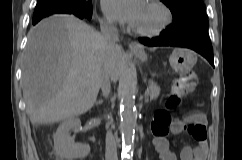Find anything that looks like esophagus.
Wrapping results in <instances>:
<instances>
[{
	"instance_id": "esophagus-1",
	"label": "esophagus",
	"mask_w": 242,
	"mask_h": 160,
	"mask_svg": "<svg viewBox=\"0 0 242 160\" xmlns=\"http://www.w3.org/2000/svg\"><path fill=\"white\" fill-rule=\"evenodd\" d=\"M129 50L131 52H142L141 47L134 42L129 43Z\"/></svg>"
}]
</instances>
